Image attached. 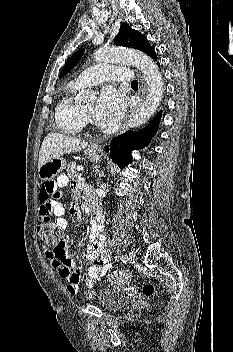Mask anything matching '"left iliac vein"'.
I'll list each match as a JSON object with an SVG mask.
<instances>
[{"label": "left iliac vein", "instance_id": "1", "mask_svg": "<svg viewBox=\"0 0 233 352\" xmlns=\"http://www.w3.org/2000/svg\"><path fill=\"white\" fill-rule=\"evenodd\" d=\"M128 261H129V263L134 264L136 262L135 254L130 253L128 256Z\"/></svg>", "mask_w": 233, "mask_h": 352}]
</instances>
